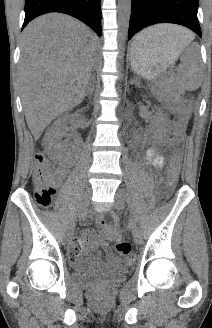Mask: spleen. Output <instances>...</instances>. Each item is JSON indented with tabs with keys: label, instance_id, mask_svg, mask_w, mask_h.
Masks as SVG:
<instances>
[{
	"label": "spleen",
	"instance_id": "1",
	"mask_svg": "<svg viewBox=\"0 0 212 328\" xmlns=\"http://www.w3.org/2000/svg\"><path fill=\"white\" fill-rule=\"evenodd\" d=\"M135 49H142L152 41L147 35V30L135 37ZM198 45L194 43L181 57L182 71L178 74L179 85L186 90H196L201 86L203 75L199 62Z\"/></svg>",
	"mask_w": 212,
	"mask_h": 328
}]
</instances>
